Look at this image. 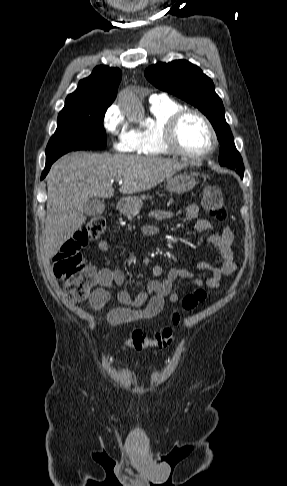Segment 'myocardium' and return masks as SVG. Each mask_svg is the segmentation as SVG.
Listing matches in <instances>:
<instances>
[{"label":"myocardium","instance_id":"f54148a6","mask_svg":"<svg viewBox=\"0 0 287 486\" xmlns=\"http://www.w3.org/2000/svg\"><path fill=\"white\" fill-rule=\"evenodd\" d=\"M188 115H195L199 117L209 131L211 137V144L204 151L189 152L183 149L178 143L177 140L178 127L181 121ZM162 142L166 147V149L172 154L189 158V159H199V158L207 157L212 153H214V151L218 147V136L211 121L203 112L194 108H182L178 112L174 113L164 124L162 129Z\"/></svg>","mask_w":287,"mask_h":486}]
</instances>
